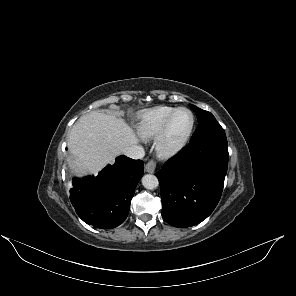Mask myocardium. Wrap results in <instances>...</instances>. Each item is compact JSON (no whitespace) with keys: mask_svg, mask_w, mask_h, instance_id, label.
I'll use <instances>...</instances> for the list:
<instances>
[{"mask_svg":"<svg viewBox=\"0 0 296 296\" xmlns=\"http://www.w3.org/2000/svg\"><path fill=\"white\" fill-rule=\"evenodd\" d=\"M180 111H186L191 115V125L181 139H179L177 142L171 143L169 141L170 127H171V124H172L175 116ZM195 123H196L195 115L190 109L185 108V107L176 108L171 113V115L168 117V119L166 120L165 124L163 125V127L157 137L156 150H157L158 155L161 158H171V157H174L177 154H179L187 145V143L193 133Z\"/></svg>","mask_w":296,"mask_h":296,"instance_id":"obj_1","label":"myocardium"}]
</instances>
